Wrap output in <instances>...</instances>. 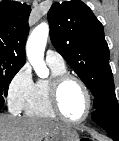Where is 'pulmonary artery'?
Listing matches in <instances>:
<instances>
[{
  "mask_svg": "<svg viewBox=\"0 0 119 141\" xmlns=\"http://www.w3.org/2000/svg\"><path fill=\"white\" fill-rule=\"evenodd\" d=\"M46 61L59 66L65 65L64 58L58 52L51 49L46 52Z\"/></svg>",
  "mask_w": 119,
  "mask_h": 141,
  "instance_id": "1",
  "label": "pulmonary artery"
}]
</instances>
